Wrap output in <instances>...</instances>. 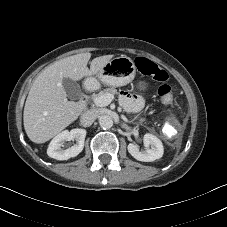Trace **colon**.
<instances>
[{"label":"colon","instance_id":"obj_1","mask_svg":"<svg viewBox=\"0 0 227 227\" xmlns=\"http://www.w3.org/2000/svg\"><path fill=\"white\" fill-rule=\"evenodd\" d=\"M136 67L139 73L150 76L158 82H162V85H160L157 91L158 98L166 105L173 104L174 93L172 88L168 84L164 83L168 79L166 71L143 57L136 60Z\"/></svg>","mask_w":227,"mask_h":227}]
</instances>
